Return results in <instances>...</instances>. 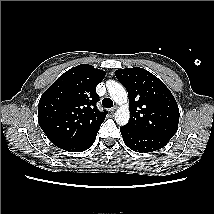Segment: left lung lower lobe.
I'll use <instances>...</instances> for the list:
<instances>
[{
    "instance_id": "0a47b994",
    "label": "left lung lower lobe",
    "mask_w": 214,
    "mask_h": 214,
    "mask_svg": "<svg viewBox=\"0 0 214 214\" xmlns=\"http://www.w3.org/2000/svg\"><path fill=\"white\" fill-rule=\"evenodd\" d=\"M124 143L136 152H152L164 147L169 139L151 135L141 131L131 130L125 126L120 128Z\"/></svg>"
}]
</instances>
